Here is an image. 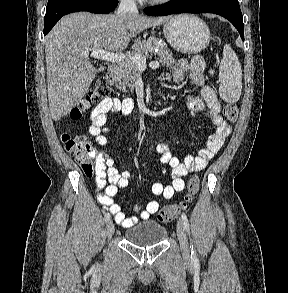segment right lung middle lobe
<instances>
[{"mask_svg":"<svg viewBox=\"0 0 288 293\" xmlns=\"http://www.w3.org/2000/svg\"><path fill=\"white\" fill-rule=\"evenodd\" d=\"M64 1H67V0H48L47 8H50V7L54 6V5L62 3ZM102 1H108V0H102Z\"/></svg>","mask_w":288,"mask_h":293,"instance_id":"1","label":"right lung middle lobe"}]
</instances>
